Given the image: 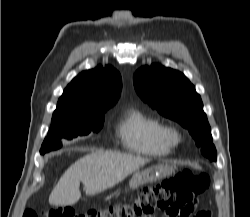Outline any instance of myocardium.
Wrapping results in <instances>:
<instances>
[{
  "label": "myocardium",
  "mask_w": 250,
  "mask_h": 217,
  "mask_svg": "<svg viewBox=\"0 0 250 217\" xmlns=\"http://www.w3.org/2000/svg\"><path fill=\"white\" fill-rule=\"evenodd\" d=\"M166 140L172 145H177L183 141L182 133L174 127H164Z\"/></svg>",
  "instance_id": "1"
}]
</instances>
